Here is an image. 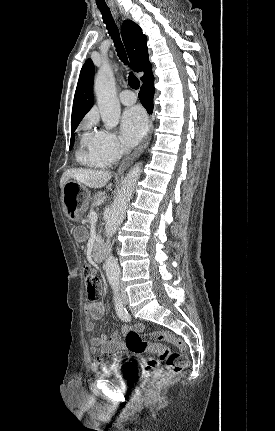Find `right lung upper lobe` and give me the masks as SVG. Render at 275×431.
<instances>
[{
	"mask_svg": "<svg viewBox=\"0 0 275 431\" xmlns=\"http://www.w3.org/2000/svg\"><path fill=\"white\" fill-rule=\"evenodd\" d=\"M122 39L127 50L132 69L135 72L144 71L141 80L145 82L152 75L149 62L147 37L141 28L131 20L122 24ZM94 65L88 59L83 65L73 101L71 128L78 126L85 114L93 106Z\"/></svg>",
	"mask_w": 275,
	"mask_h": 431,
	"instance_id": "obj_1",
	"label": "right lung upper lobe"
}]
</instances>
